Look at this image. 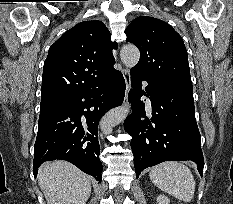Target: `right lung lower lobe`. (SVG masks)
Listing matches in <instances>:
<instances>
[{"label": "right lung lower lobe", "mask_w": 233, "mask_h": 204, "mask_svg": "<svg viewBox=\"0 0 233 204\" xmlns=\"http://www.w3.org/2000/svg\"><path fill=\"white\" fill-rule=\"evenodd\" d=\"M124 95V78L113 69L96 86L72 95L55 111L40 117L34 145V176L43 162L62 159L101 182L98 123L105 112L122 104Z\"/></svg>", "instance_id": "right-lung-lower-lobe-1"}]
</instances>
